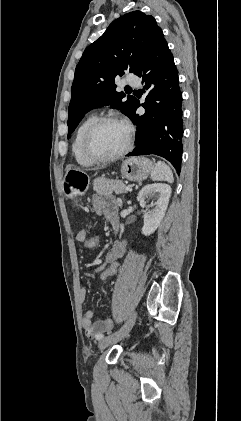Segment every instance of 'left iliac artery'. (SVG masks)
I'll return each mask as SVG.
<instances>
[{
	"label": "left iliac artery",
	"mask_w": 241,
	"mask_h": 421,
	"mask_svg": "<svg viewBox=\"0 0 241 421\" xmlns=\"http://www.w3.org/2000/svg\"><path fill=\"white\" fill-rule=\"evenodd\" d=\"M99 339H102L103 338V336H100V337H98Z\"/></svg>",
	"instance_id": "44dca946"
}]
</instances>
